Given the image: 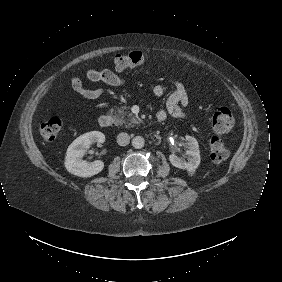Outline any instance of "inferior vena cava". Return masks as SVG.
I'll list each match as a JSON object with an SVG mask.
<instances>
[{
	"instance_id": "inferior-vena-cava-1",
	"label": "inferior vena cava",
	"mask_w": 282,
	"mask_h": 282,
	"mask_svg": "<svg viewBox=\"0 0 282 282\" xmlns=\"http://www.w3.org/2000/svg\"><path fill=\"white\" fill-rule=\"evenodd\" d=\"M130 142V137L127 133L125 132H122V133H119L118 136H117V143L120 145V146H126L128 145Z\"/></svg>"
}]
</instances>
